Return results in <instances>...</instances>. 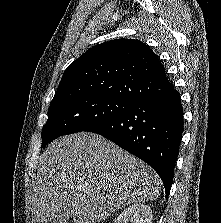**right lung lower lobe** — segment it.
Wrapping results in <instances>:
<instances>
[{
	"label": "right lung lower lobe",
	"instance_id": "obj_1",
	"mask_svg": "<svg viewBox=\"0 0 221 223\" xmlns=\"http://www.w3.org/2000/svg\"><path fill=\"white\" fill-rule=\"evenodd\" d=\"M86 131L97 133L149 164L168 198L183 134V107L174 88L133 103Z\"/></svg>",
	"mask_w": 221,
	"mask_h": 223
}]
</instances>
